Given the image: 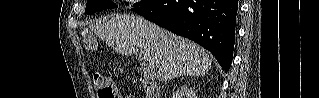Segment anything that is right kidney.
Returning <instances> with one entry per match:
<instances>
[{
	"label": "right kidney",
	"mask_w": 319,
	"mask_h": 98,
	"mask_svg": "<svg viewBox=\"0 0 319 98\" xmlns=\"http://www.w3.org/2000/svg\"><path fill=\"white\" fill-rule=\"evenodd\" d=\"M186 93H187L189 96L193 97V98L196 97V95H195V93L193 92V90H186Z\"/></svg>",
	"instance_id": "ca27d5eb"
}]
</instances>
